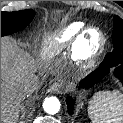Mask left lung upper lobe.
Here are the masks:
<instances>
[{
  "mask_svg": "<svg viewBox=\"0 0 123 123\" xmlns=\"http://www.w3.org/2000/svg\"><path fill=\"white\" fill-rule=\"evenodd\" d=\"M113 50L104 58V62L116 65L123 64V20L114 16V30L112 34Z\"/></svg>",
  "mask_w": 123,
  "mask_h": 123,
  "instance_id": "obj_1",
  "label": "left lung upper lobe"
}]
</instances>
